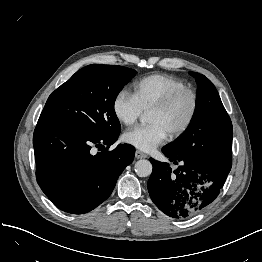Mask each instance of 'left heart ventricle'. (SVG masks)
<instances>
[{
  "label": "left heart ventricle",
  "mask_w": 262,
  "mask_h": 262,
  "mask_svg": "<svg viewBox=\"0 0 262 262\" xmlns=\"http://www.w3.org/2000/svg\"><path fill=\"white\" fill-rule=\"evenodd\" d=\"M190 111V99L183 96L163 111L151 110L147 114L149 123H159L168 134L179 127L187 118Z\"/></svg>",
  "instance_id": "obj_1"
}]
</instances>
